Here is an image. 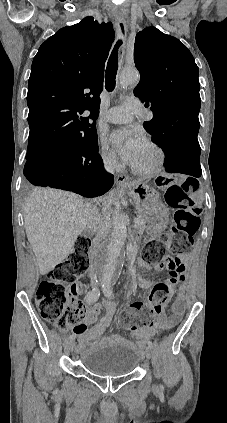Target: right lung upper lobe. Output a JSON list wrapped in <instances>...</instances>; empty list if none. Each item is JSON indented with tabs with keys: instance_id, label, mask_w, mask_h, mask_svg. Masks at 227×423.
I'll return each instance as SVG.
<instances>
[{
	"instance_id": "cb5924a9",
	"label": "right lung upper lobe",
	"mask_w": 227,
	"mask_h": 423,
	"mask_svg": "<svg viewBox=\"0 0 227 423\" xmlns=\"http://www.w3.org/2000/svg\"><path fill=\"white\" fill-rule=\"evenodd\" d=\"M114 34L111 23L100 25L86 17L40 46L28 84L27 155L64 148L96 133L104 66ZM87 111L90 115L85 117Z\"/></svg>"
}]
</instances>
